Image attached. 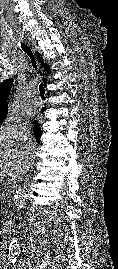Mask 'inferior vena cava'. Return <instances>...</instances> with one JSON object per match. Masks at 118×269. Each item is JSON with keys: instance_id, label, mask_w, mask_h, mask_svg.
Masks as SVG:
<instances>
[{"instance_id": "inferior-vena-cava-1", "label": "inferior vena cava", "mask_w": 118, "mask_h": 269, "mask_svg": "<svg viewBox=\"0 0 118 269\" xmlns=\"http://www.w3.org/2000/svg\"><path fill=\"white\" fill-rule=\"evenodd\" d=\"M33 146L32 144L28 143L25 145V157L22 165V171L19 176L23 175L26 170L32 166L34 158L32 154Z\"/></svg>"}]
</instances>
